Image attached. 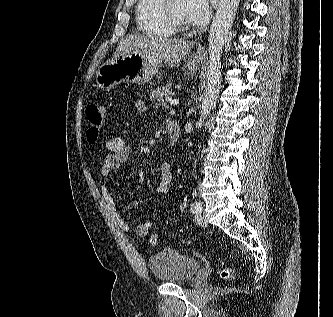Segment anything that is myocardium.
<instances>
[{
  "instance_id": "obj_1",
  "label": "myocardium",
  "mask_w": 333,
  "mask_h": 317,
  "mask_svg": "<svg viewBox=\"0 0 333 317\" xmlns=\"http://www.w3.org/2000/svg\"><path fill=\"white\" fill-rule=\"evenodd\" d=\"M160 13L164 23L169 29L177 34H187L191 32V26H185L179 23L173 13V3L175 0H160Z\"/></svg>"
}]
</instances>
